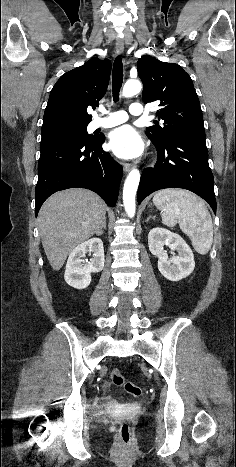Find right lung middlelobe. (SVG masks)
<instances>
[{"label": "right lung middle lobe", "mask_w": 236, "mask_h": 467, "mask_svg": "<svg viewBox=\"0 0 236 467\" xmlns=\"http://www.w3.org/2000/svg\"><path fill=\"white\" fill-rule=\"evenodd\" d=\"M41 144L62 140V139H81L90 141L95 137L88 135L87 126L60 127L41 131Z\"/></svg>", "instance_id": "dd1d6c3e"}]
</instances>
